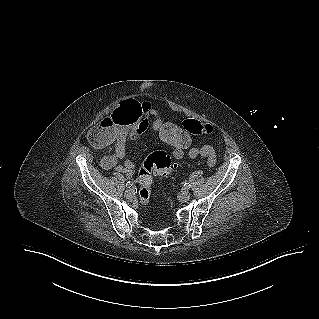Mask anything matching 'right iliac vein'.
Segmentation results:
<instances>
[{
	"mask_svg": "<svg viewBox=\"0 0 319 319\" xmlns=\"http://www.w3.org/2000/svg\"><path fill=\"white\" fill-rule=\"evenodd\" d=\"M134 196V190L133 189H128L125 191V197L126 198H132Z\"/></svg>",
	"mask_w": 319,
	"mask_h": 319,
	"instance_id": "1",
	"label": "right iliac vein"
}]
</instances>
